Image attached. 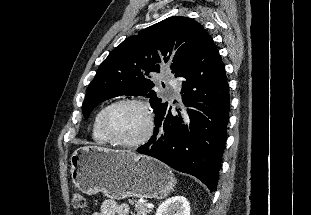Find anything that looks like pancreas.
Segmentation results:
<instances>
[{
	"instance_id": "obj_1",
	"label": "pancreas",
	"mask_w": 311,
	"mask_h": 215,
	"mask_svg": "<svg viewBox=\"0 0 311 215\" xmlns=\"http://www.w3.org/2000/svg\"><path fill=\"white\" fill-rule=\"evenodd\" d=\"M131 205L135 206L137 215H147L151 210L148 209L146 202H140L136 199L129 200Z\"/></svg>"
}]
</instances>
